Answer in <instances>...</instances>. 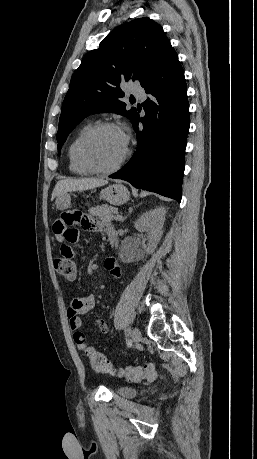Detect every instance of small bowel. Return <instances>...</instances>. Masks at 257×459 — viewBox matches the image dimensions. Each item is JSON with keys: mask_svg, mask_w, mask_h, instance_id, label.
Returning <instances> with one entry per match:
<instances>
[{"mask_svg": "<svg viewBox=\"0 0 257 459\" xmlns=\"http://www.w3.org/2000/svg\"><path fill=\"white\" fill-rule=\"evenodd\" d=\"M75 226H83L86 229L94 232H102L107 234L108 231H114V226L106 221H101L100 217H88L84 211H79L78 205H67L66 211H60L59 217H56L52 222V227L57 236V239L62 242L61 257L66 258V261H81V252H78L75 247L81 239V234ZM105 268L110 275L119 279L121 277V269L114 258H107L104 262ZM96 305L95 295L89 293L82 297H75L71 300L70 306L67 309V317L69 327L73 332V340L78 349L86 352V335L81 330L83 322L82 315L91 312ZM95 326L103 333L109 332V327L105 320L97 319Z\"/></svg>", "mask_w": 257, "mask_h": 459, "instance_id": "c3829d8e", "label": "small bowel"}]
</instances>
